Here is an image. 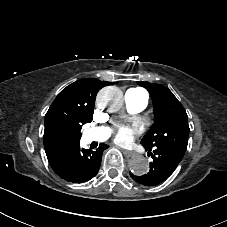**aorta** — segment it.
I'll return each mask as SVG.
<instances>
[{"label":"aorta","mask_w":227,"mask_h":227,"mask_svg":"<svg viewBox=\"0 0 227 227\" xmlns=\"http://www.w3.org/2000/svg\"><path fill=\"white\" fill-rule=\"evenodd\" d=\"M123 94L117 87H105L97 96V104L100 108H109L116 110L121 107ZM129 167L133 174L141 176L147 173L149 169L148 160L142 155H136L129 161Z\"/></svg>","instance_id":"aorta-1"}]
</instances>
